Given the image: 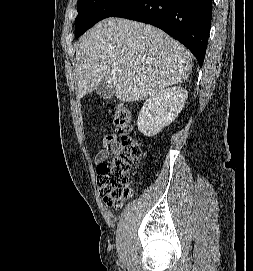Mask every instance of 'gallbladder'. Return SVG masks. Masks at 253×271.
I'll use <instances>...</instances> for the list:
<instances>
[{
	"instance_id": "obj_1",
	"label": "gallbladder",
	"mask_w": 253,
	"mask_h": 271,
	"mask_svg": "<svg viewBox=\"0 0 253 271\" xmlns=\"http://www.w3.org/2000/svg\"><path fill=\"white\" fill-rule=\"evenodd\" d=\"M96 94L102 99H110L114 95V88L106 82H101L96 89Z\"/></svg>"
}]
</instances>
